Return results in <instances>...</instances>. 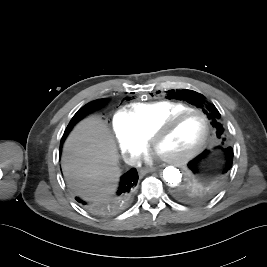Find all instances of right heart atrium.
<instances>
[{
	"label": "right heart atrium",
	"instance_id": "right-heart-atrium-1",
	"mask_svg": "<svg viewBox=\"0 0 267 267\" xmlns=\"http://www.w3.org/2000/svg\"><path fill=\"white\" fill-rule=\"evenodd\" d=\"M112 129L123 156L129 163H136L146 149L147 140L135 130L124 111L113 115Z\"/></svg>",
	"mask_w": 267,
	"mask_h": 267
}]
</instances>
